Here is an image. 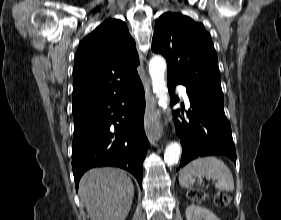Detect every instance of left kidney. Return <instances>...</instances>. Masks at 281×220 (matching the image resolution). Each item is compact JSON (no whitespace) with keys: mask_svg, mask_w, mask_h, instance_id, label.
Returning <instances> with one entry per match:
<instances>
[{"mask_svg":"<svg viewBox=\"0 0 281 220\" xmlns=\"http://www.w3.org/2000/svg\"><path fill=\"white\" fill-rule=\"evenodd\" d=\"M187 220H220L214 213L199 205H190L186 209Z\"/></svg>","mask_w":281,"mask_h":220,"instance_id":"left-kidney-1","label":"left kidney"}]
</instances>
